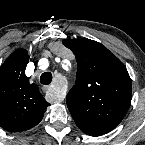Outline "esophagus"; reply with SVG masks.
I'll return each mask as SVG.
<instances>
[{"instance_id":"1","label":"esophagus","mask_w":145,"mask_h":145,"mask_svg":"<svg viewBox=\"0 0 145 145\" xmlns=\"http://www.w3.org/2000/svg\"><path fill=\"white\" fill-rule=\"evenodd\" d=\"M51 88L49 86L45 87V90L47 91L48 95L55 100V102H61L64 99L63 94L60 91H51Z\"/></svg>"}]
</instances>
